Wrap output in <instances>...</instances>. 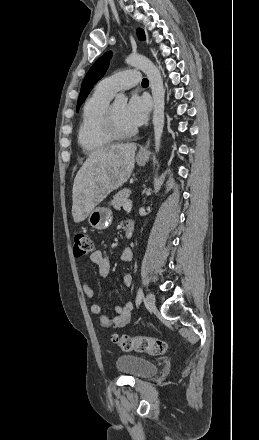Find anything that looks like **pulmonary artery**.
Here are the masks:
<instances>
[{
	"label": "pulmonary artery",
	"instance_id": "obj_1",
	"mask_svg": "<svg viewBox=\"0 0 259 440\" xmlns=\"http://www.w3.org/2000/svg\"><path fill=\"white\" fill-rule=\"evenodd\" d=\"M141 82V73L137 69H127L101 80L97 89L114 95L119 90L129 89Z\"/></svg>",
	"mask_w": 259,
	"mask_h": 440
}]
</instances>
